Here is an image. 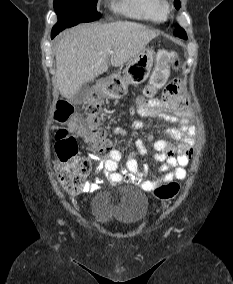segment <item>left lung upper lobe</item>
Segmentation results:
<instances>
[{
  "mask_svg": "<svg viewBox=\"0 0 233 284\" xmlns=\"http://www.w3.org/2000/svg\"><path fill=\"white\" fill-rule=\"evenodd\" d=\"M174 6L176 7V9H179L180 8V1L179 0H175L174 2ZM175 35L180 37V38H183V39H187V35L184 31V29H182L180 26H176V29H175Z\"/></svg>",
  "mask_w": 233,
  "mask_h": 284,
  "instance_id": "1",
  "label": "left lung upper lobe"
}]
</instances>
